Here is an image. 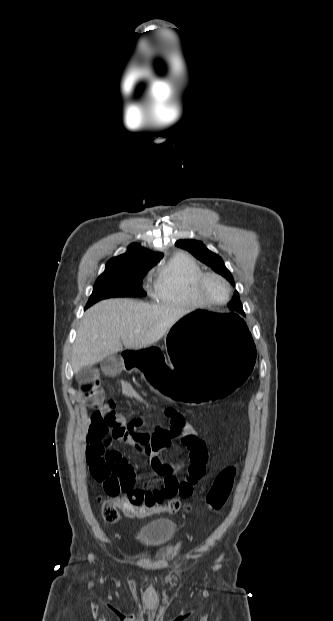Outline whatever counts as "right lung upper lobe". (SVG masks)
<instances>
[{
  "instance_id": "1",
  "label": "right lung upper lobe",
  "mask_w": 333,
  "mask_h": 621,
  "mask_svg": "<svg viewBox=\"0 0 333 621\" xmlns=\"http://www.w3.org/2000/svg\"><path fill=\"white\" fill-rule=\"evenodd\" d=\"M163 257L161 252H152L137 243L128 247V251L110 259L107 263H134L154 266Z\"/></svg>"
}]
</instances>
